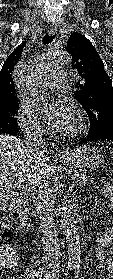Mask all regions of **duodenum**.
Segmentation results:
<instances>
[{"instance_id":"obj_1","label":"duodenum","mask_w":113,"mask_h":279,"mask_svg":"<svg viewBox=\"0 0 113 279\" xmlns=\"http://www.w3.org/2000/svg\"><path fill=\"white\" fill-rule=\"evenodd\" d=\"M19 216H20L21 224H22L23 228L25 229V231L30 232L31 231V222H30L29 209L27 207H22L20 209Z\"/></svg>"}]
</instances>
